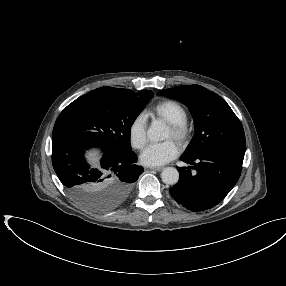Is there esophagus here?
<instances>
[{"label": "esophagus", "mask_w": 286, "mask_h": 286, "mask_svg": "<svg viewBox=\"0 0 286 286\" xmlns=\"http://www.w3.org/2000/svg\"><path fill=\"white\" fill-rule=\"evenodd\" d=\"M149 170L162 171L164 167H149Z\"/></svg>", "instance_id": "obj_1"}]
</instances>
